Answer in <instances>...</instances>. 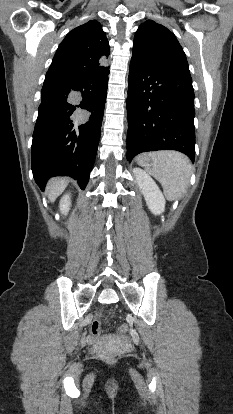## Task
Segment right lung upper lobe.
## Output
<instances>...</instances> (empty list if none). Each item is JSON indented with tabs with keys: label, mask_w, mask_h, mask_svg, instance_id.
Wrapping results in <instances>:
<instances>
[{
	"label": "right lung upper lobe",
	"mask_w": 233,
	"mask_h": 414,
	"mask_svg": "<svg viewBox=\"0 0 233 414\" xmlns=\"http://www.w3.org/2000/svg\"><path fill=\"white\" fill-rule=\"evenodd\" d=\"M109 43L99 22L91 20L70 31L59 45L46 76L71 79L98 74L107 67Z\"/></svg>",
	"instance_id": "1"
}]
</instances>
